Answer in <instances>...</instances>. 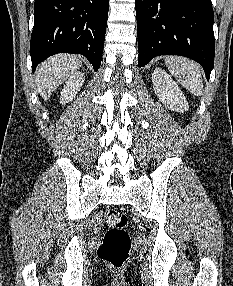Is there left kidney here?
I'll list each match as a JSON object with an SVG mask.
<instances>
[{
    "label": "left kidney",
    "instance_id": "5707ae66",
    "mask_svg": "<svg viewBox=\"0 0 233 286\" xmlns=\"http://www.w3.org/2000/svg\"><path fill=\"white\" fill-rule=\"evenodd\" d=\"M152 82L156 95L167 108L176 112L188 111L189 106L184 94L163 69L154 70Z\"/></svg>",
    "mask_w": 233,
    "mask_h": 286
}]
</instances>
